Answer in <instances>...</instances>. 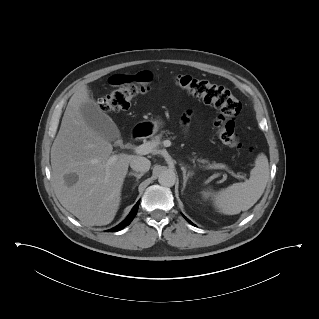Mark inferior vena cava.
Segmentation results:
<instances>
[{
	"instance_id": "inferior-vena-cava-1",
	"label": "inferior vena cava",
	"mask_w": 319,
	"mask_h": 319,
	"mask_svg": "<svg viewBox=\"0 0 319 319\" xmlns=\"http://www.w3.org/2000/svg\"><path fill=\"white\" fill-rule=\"evenodd\" d=\"M150 166L151 162L147 158L141 156H135L130 162V167L141 173L147 172L150 169Z\"/></svg>"
}]
</instances>
